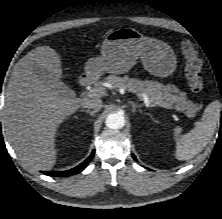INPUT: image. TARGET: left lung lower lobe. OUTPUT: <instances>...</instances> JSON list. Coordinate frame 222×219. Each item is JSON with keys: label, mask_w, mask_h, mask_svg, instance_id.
<instances>
[{"label": "left lung lower lobe", "mask_w": 222, "mask_h": 219, "mask_svg": "<svg viewBox=\"0 0 222 219\" xmlns=\"http://www.w3.org/2000/svg\"><path fill=\"white\" fill-rule=\"evenodd\" d=\"M133 156V158L136 160V157L134 156V155H132Z\"/></svg>", "instance_id": "1"}]
</instances>
